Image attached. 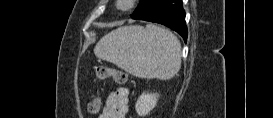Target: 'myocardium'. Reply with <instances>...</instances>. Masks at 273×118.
<instances>
[{
    "instance_id": "myocardium-1",
    "label": "myocardium",
    "mask_w": 273,
    "mask_h": 118,
    "mask_svg": "<svg viewBox=\"0 0 273 118\" xmlns=\"http://www.w3.org/2000/svg\"><path fill=\"white\" fill-rule=\"evenodd\" d=\"M135 0H119L117 1V8L121 11H129L133 8Z\"/></svg>"
}]
</instances>
